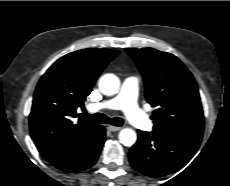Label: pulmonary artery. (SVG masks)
I'll use <instances>...</instances> for the list:
<instances>
[{
  "label": "pulmonary artery",
  "mask_w": 230,
  "mask_h": 186,
  "mask_svg": "<svg viewBox=\"0 0 230 186\" xmlns=\"http://www.w3.org/2000/svg\"><path fill=\"white\" fill-rule=\"evenodd\" d=\"M138 83L139 79L137 77L126 78L118 95L105 101L92 103L89 105V109L94 112L106 109H121L135 127L145 131L151 130L153 127L152 121L137 105Z\"/></svg>",
  "instance_id": "obj_1"
}]
</instances>
